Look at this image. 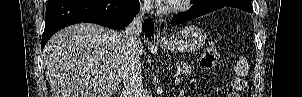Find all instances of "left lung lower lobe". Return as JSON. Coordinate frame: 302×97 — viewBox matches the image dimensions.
Masks as SVG:
<instances>
[{
    "label": "left lung lower lobe",
    "instance_id": "1",
    "mask_svg": "<svg viewBox=\"0 0 302 97\" xmlns=\"http://www.w3.org/2000/svg\"><path fill=\"white\" fill-rule=\"evenodd\" d=\"M225 6L239 8L249 13L253 12L251 0H195L193 6L188 11L174 16L171 24H181Z\"/></svg>",
    "mask_w": 302,
    "mask_h": 97
}]
</instances>
